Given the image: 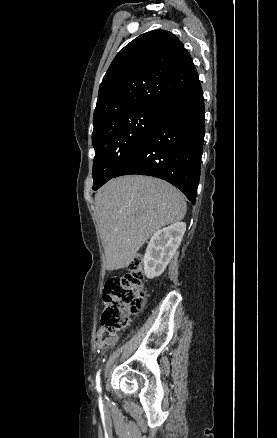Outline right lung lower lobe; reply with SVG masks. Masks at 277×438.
<instances>
[{
    "instance_id": "98d812e1",
    "label": "right lung lower lobe",
    "mask_w": 277,
    "mask_h": 438,
    "mask_svg": "<svg viewBox=\"0 0 277 438\" xmlns=\"http://www.w3.org/2000/svg\"><path fill=\"white\" fill-rule=\"evenodd\" d=\"M171 69L172 65L168 64L161 67L165 71ZM204 120L203 92L198 82L162 106L144 142L113 177L128 174L158 177L179 188L195 204L201 171Z\"/></svg>"
}]
</instances>
